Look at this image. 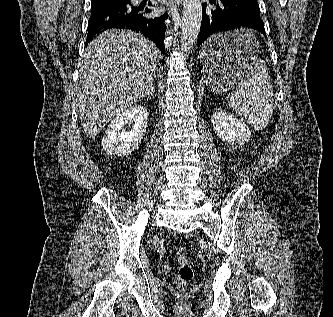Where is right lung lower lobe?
<instances>
[{
  "label": "right lung lower lobe",
  "mask_w": 333,
  "mask_h": 317,
  "mask_svg": "<svg viewBox=\"0 0 333 317\" xmlns=\"http://www.w3.org/2000/svg\"><path fill=\"white\" fill-rule=\"evenodd\" d=\"M143 9L133 7L128 0L124 4H106L91 7V16L88 21V34L86 44L100 31L111 28L129 29L141 32L151 39L164 54L165 20L167 12L160 17L149 18L142 14ZM151 10L145 9L146 13Z\"/></svg>",
  "instance_id": "1"
}]
</instances>
